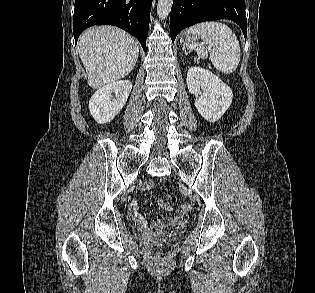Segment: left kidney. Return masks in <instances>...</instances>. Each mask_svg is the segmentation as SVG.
I'll list each match as a JSON object with an SVG mask.
<instances>
[{"mask_svg": "<svg viewBox=\"0 0 315 293\" xmlns=\"http://www.w3.org/2000/svg\"><path fill=\"white\" fill-rule=\"evenodd\" d=\"M187 87L190 93L199 95L195 107L199 114L209 122H216L232 103V90L212 72L191 67L187 72Z\"/></svg>", "mask_w": 315, "mask_h": 293, "instance_id": "left-kidney-1", "label": "left kidney"}]
</instances>
